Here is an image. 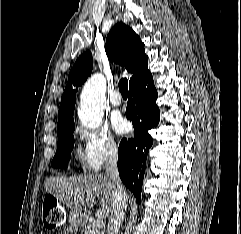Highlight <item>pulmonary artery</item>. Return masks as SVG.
<instances>
[{
	"mask_svg": "<svg viewBox=\"0 0 241 234\" xmlns=\"http://www.w3.org/2000/svg\"><path fill=\"white\" fill-rule=\"evenodd\" d=\"M109 102L112 106H115V107L120 106L122 104V98L118 91H114L110 95Z\"/></svg>",
	"mask_w": 241,
	"mask_h": 234,
	"instance_id": "e3ab8cb5",
	"label": "pulmonary artery"
}]
</instances>
